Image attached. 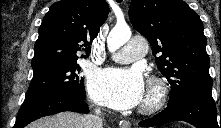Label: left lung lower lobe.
I'll return each mask as SVG.
<instances>
[{
	"label": "left lung lower lobe",
	"mask_w": 221,
	"mask_h": 128,
	"mask_svg": "<svg viewBox=\"0 0 221 128\" xmlns=\"http://www.w3.org/2000/svg\"><path fill=\"white\" fill-rule=\"evenodd\" d=\"M173 121H185L197 128H219L212 95L197 94L187 97L154 117L139 122V126L153 127Z\"/></svg>",
	"instance_id": "left-lung-lower-lobe-1"
}]
</instances>
